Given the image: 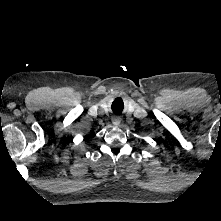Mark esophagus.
<instances>
[{
    "label": "esophagus",
    "instance_id": "1",
    "mask_svg": "<svg viewBox=\"0 0 221 221\" xmlns=\"http://www.w3.org/2000/svg\"><path fill=\"white\" fill-rule=\"evenodd\" d=\"M112 123L114 126H119L121 123V118L118 116H114L112 117Z\"/></svg>",
    "mask_w": 221,
    "mask_h": 221
}]
</instances>
